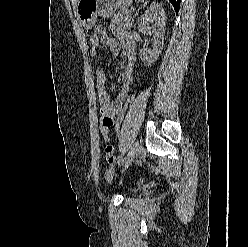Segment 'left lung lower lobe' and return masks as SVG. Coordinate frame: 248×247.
I'll list each match as a JSON object with an SVG mask.
<instances>
[{
    "instance_id": "obj_1",
    "label": "left lung lower lobe",
    "mask_w": 248,
    "mask_h": 247,
    "mask_svg": "<svg viewBox=\"0 0 248 247\" xmlns=\"http://www.w3.org/2000/svg\"><path fill=\"white\" fill-rule=\"evenodd\" d=\"M169 1L172 3V5H173V7H174V9L176 11V14H177L178 11H179V8H180L181 0H169Z\"/></svg>"
}]
</instances>
